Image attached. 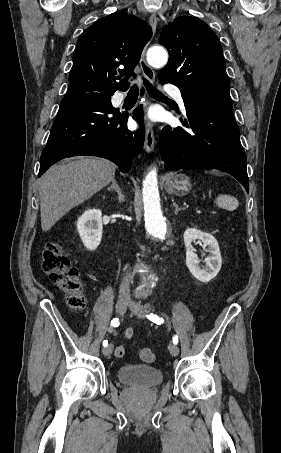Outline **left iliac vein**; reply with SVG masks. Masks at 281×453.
I'll return each mask as SVG.
<instances>
[{
    "mask_svg": "<svg viewBox=\"0 0 281 453\" xmlns=\"http://www.w3.org/2000/svg\"><path fill=\"white\" fill-rule=\"evenodd\" d=\"M128 308H129L130 311H132V314H135L137 316L146 317L145 315L149 314V311L147 310V307H142V304H137V301L136 302H130V305H128ZM169 349H170L169 352H170L171 356H178L179 355V347L176 344H171L169 346Z\"/></svg>",
    "mask_w": 281,
    "mask_h": 453,
    "instance_id": "obj_1",
    "label": "left iliac vein"
}]
</instances>
